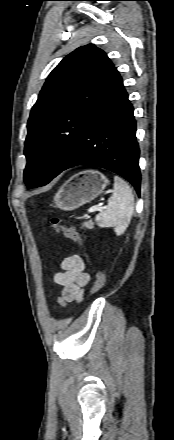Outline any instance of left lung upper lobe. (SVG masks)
<instances>
[{"label":"left lung upper lobe","mask_w":174,"mask_h":440,"mask_svg":"<svg viewBox=\"0 0 174 440\" xmlns=\"http://www.w3.org/2000/svg\"><path fill=\"white\" fill-rule=\"evenodd\" d=\"M117 70L93 44L67 55L48 76L31 110L24 154L30 188L56 177L75 152L84 123Z\"/></svg>","instance_id":"1"}]
</instances>
